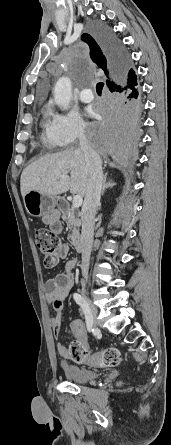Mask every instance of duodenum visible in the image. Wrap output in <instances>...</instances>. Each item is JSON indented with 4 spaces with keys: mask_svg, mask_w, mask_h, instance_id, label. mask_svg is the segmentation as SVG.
I'll return each mask as SVG.
<instances>
[{
    "mask_svg": "<svg viewBox=\"0 0 171 445\" xmlns=\"http://www.w3.org/2000/svg\"><path fill=\"white\" fill-rule=\"evenodd\" d=\"M67 204L65 202L60 203L61 209H66ZM73 246L78 252H82L84 248L83 240L80 236H75L72 240Z\"/></svg>",
    "mask_w": 171,
    "mask_h": 445,
    "instance_id": "1",
    "label": "duodenum"
}]
</instances>
